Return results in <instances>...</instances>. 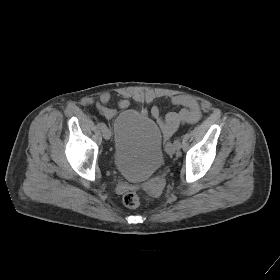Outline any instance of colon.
<instances>
[{
  "mask_svg": "<svg viewBox=\"0 0 280 280\" xmlns=\"http://www.w3.org/2000/svg\"><path fill=\"white\" fill-rule=\"evenodd\" d=\"M140 195L136 191L127 192L123 197L124 204L129 208H136L140 205Z\"/></svg>",
  "mask_w": 280,
  "mask_h": 280,
  "instance_id": "5ec220e1",
  "label": "colon"
}]
</instances>
